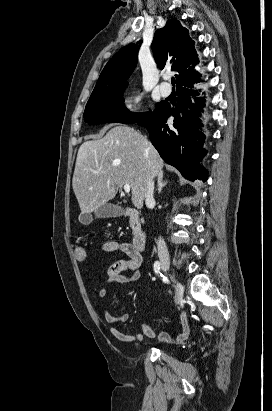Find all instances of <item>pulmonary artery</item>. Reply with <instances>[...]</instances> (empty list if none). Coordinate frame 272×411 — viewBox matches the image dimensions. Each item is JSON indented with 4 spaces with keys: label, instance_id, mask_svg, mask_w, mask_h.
<instances>
[{
    "label": "pulmonary artery",
    "instance_id": "1",
    "mask_svg": "<svg viewBox=\"0 0 272 411\" xmlns=\"http://www.w3.org/2000/svg\"><path fill=\"white\" fill-rule=\"evenodd\" d=\"M168 75L164 76V79H168ZM160 92L163 96H169L171 94V87L168 83H162L160 85Z\"/></svg>",
    "mask_w": 272,
    "mask_h": 411
}]
</instances>
